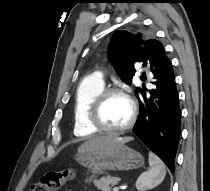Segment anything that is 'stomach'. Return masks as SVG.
I'll use <instances>...</instances> for the list:
<instances>
[{
	"instance_id": "1",
	"label": "stomach",
	"mask_w": 210,
	"mask_h": 191,
	"mask_svg": "<svg viewBox=\"0 0 210 191\" xmlns=\"http://www.w3.org/2000/svg\"><path fill=\"white\" fill-rule=\"evenodd\" d=\"M75 159L80 165L92 172L103 170L128 171L144 166V157L124 144L78 151Z\"/></svg>"
}]
</instances>
